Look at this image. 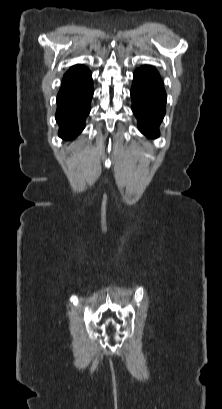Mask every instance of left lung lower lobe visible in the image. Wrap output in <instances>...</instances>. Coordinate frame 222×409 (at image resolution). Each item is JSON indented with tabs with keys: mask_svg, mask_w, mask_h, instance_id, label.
Wrapping results in <instances>:
<instances>
[{
	"mask_svg": "<svg viewBox=\"0 0 222 409\" xmlns=\"http://www.w3.org/2000/svg\"><path fill=\"white\" fill-rule=\"evenodd\" d=\"M132 111L139 129L147 137L159 135V124L165 114L166 93L158 73L137 69L131 89Z\"/></svg>",
	"mask_w": 222,
	"mask_h": 409,
	"instance_id": "left-lung-lower-lobe-1",
	"label": "left lung lower lobe"
}]
</instances>
